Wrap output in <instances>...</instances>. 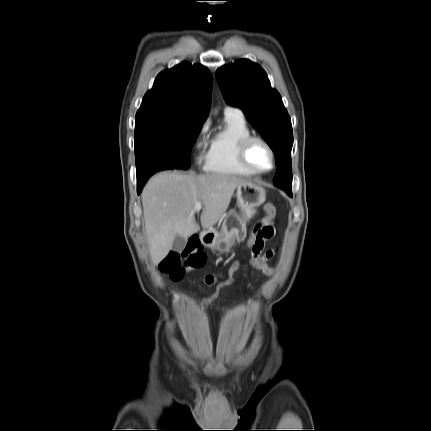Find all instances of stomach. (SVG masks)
Listing matches in <instances>:
<instances>
[{"label":"stomach","mask_w":431,"mask_h":431,"mask_svg":"<svg viewBox=\"0 0 431 431\" xmlns=\"http://www.w3.org/2000/svg\"><path fill=\"white\" fill-rule=\"evenodd\" d=\"M237 205L239 211H230L225 215L220 232L210 230L202 236L205 246L227 253L236 242H242L246 237V223L265 202L266 192L261 186L252 182L237 187Z\"/></svg>","instance_id":"obj_1"}]
</instances>
